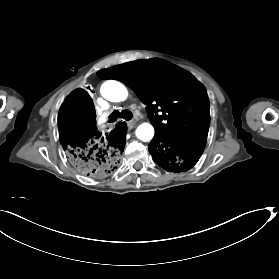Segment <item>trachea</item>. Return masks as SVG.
<instances>
[{
    "instance_id": "3493384b",
    "label": "trachea",
    "mask_w": 279,
    "mask_h": 279,
    "mask_svg": "<svg viewBox=\"0 0 279 279\" xmlns=\"http://www.w3.org/2000/svg\"><path fill=\"white\" fill-rule=\"evenodd\" d=\"M118 118L130 120L132 118V113L128 109L122 110L121 112L115 110L110 114L108 122H115Z\"/></svg>"
}]
</instances>
